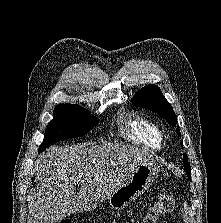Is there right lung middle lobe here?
Segmentation results:
<instances>
[{"instance_id":"obj_1","label":"right lung middle lobe","mask_w":221,"mask_h":223,"mask_svg":"<svg viewBox=\"0 0 221 223\" xmlns=\"http://www.w3.org/2000/svg\"><path fill=\"white\" fill-rule=\"evenodd\" d=\"M97 123L96 117L79 105H58L54 109V118L47 126L38 153L58 141L83 137Z\"/></svg>"}]
</instances>
